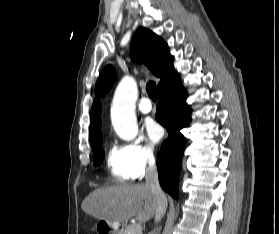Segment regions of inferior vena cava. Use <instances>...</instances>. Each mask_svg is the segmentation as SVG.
Wrapping results in <instances>:
<instances>
[{"mask_svg":"<svg viewBox=\"0 0 279 234\" xmlns=\"http://www.w3.org/2000/svg\"><path fill=\"white\" fill-rule=\"evenodd\" d=\"M145 181H146V186L150 188L151 192L155 195L158 201L156 212H155V222H158L161 220V218L165 213L166 206H167V199L158 181V173H157L154 158L149 159V164L146 169Z\"/></svg>","mask_w":279,"mask_h":234,"instance_id":"602c4592","label":"inferior vena cava"}]
</instances>
